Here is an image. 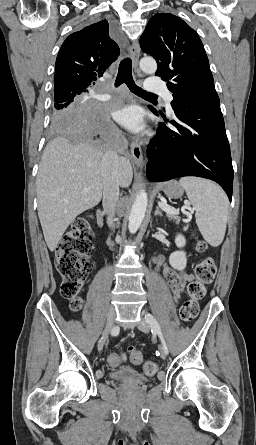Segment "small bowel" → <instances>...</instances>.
I'll return each mask as SVG.
<instances>
[{
    "instance_id": "c3829d8e",
    "label": "small bowel",
    "mask_w": 256,
    "mask_h": 445,
    "mask_svg": "<svg viewBox=\"0 0 256 445\" xmlns=\"http://www.w3.org/2000/svg\"><path fill=\"white\" fill-rule=\"evenodd\" d=\"M155 264L161 265L164 263L163 256H158L154 259ZM164 276H165V283L174 299V301H178L181 295L183 294L187 282L193 280V275L184 273V272H178L174 269H172L167 264H164Z\"/></svg>"
}]
</instances>
